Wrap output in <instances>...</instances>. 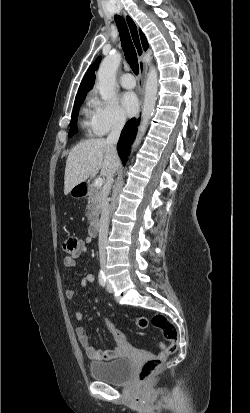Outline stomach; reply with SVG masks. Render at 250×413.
<instances>
[{
	"label": "stomach",
	"mask_w": 250,
	"mask_h": 413,
	"mask_svg": "<svg viewBox=\"0 0 250 413\" xmlns=\"http://www.w3.org/2000/svg\"><path fill=\"white\" fill-rule=\"evenodd\" d=\"M81 184V183H80ZM79 185V184H78ZM78 185H76L75 187L72 188V190L70 191L71 195L74 197H80L85 195V191L84 190H80L78 189Z\"/></svg>",
	"instance_id": "obj_1"
}]
</instances>
